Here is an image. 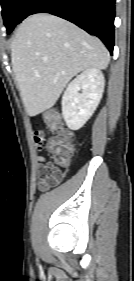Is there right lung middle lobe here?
Masks as SVG:
<instances>
[{"label":"right lung middle lobe","mask_w":134,"mask_h":281,"mask_svg":"<svg viewBox=\"0 0 134 281\" xmlns=\"http://www.w3.org/2000/svg\"><path fill=\"white\" fill-rule=\"evenodd\" d=\"M32 0H2V16L7 33L23 20L24 11Z\"/></svg>","instance_id":"dd1d6c3e"}]
</instances>
